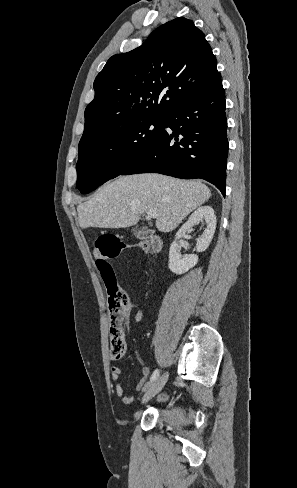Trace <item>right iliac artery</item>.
Listing matches in <instances>:
<instances>
[{"instance_id": "obj_1", "label": "right iliac artery", "mask_w": 297, "mask_h": 488, "mask_svg": "<svg viewBox=\"0 0 297 488\" xmlns=\"http://www.w3.org/2000/svg\"><path fill=\"white\" fill-rule=\"evenodd\" d=\"M158 377H159V370H158V369H156V370L153 372V374H152V376H151L150 381H151V382H153V381L157 380V378H158Z\"/></svg>"}]
</instances>
